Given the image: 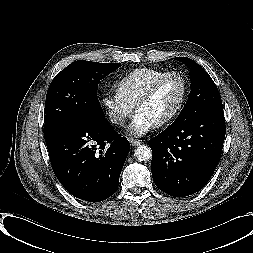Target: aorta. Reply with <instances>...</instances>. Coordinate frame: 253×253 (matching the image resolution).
<instances>
[{
    "mask_svg": "<svg viewBox=\"0 0 253 253\" xmlns=\"http://www.w3.org/2000/svg\"><path fill=\"white\" fill-rule=\"evenodd\" d=\"M134 156L139 161H148L152 158V150L149 146L140 145L135 149Z\"/></svg>",
    "mask_w": 253,
    "mask_h": 253,
    "instance_id": "1",
    "label": "aorta"
}]
</instances>
